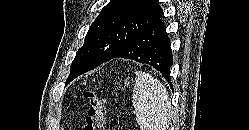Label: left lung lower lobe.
<instances>
[{
    "label": "left lung lower lobe",
    "instance_id": "1",
    "mask_svg": "<svg viewBox=\"0 0 249 130\" xmlns=\"http://www.w3.org/2000/svg\"><path fill=\"white\" fill-rule=\"evenodd\" d=\"M119 57L149 64L170 82L173 57L170 40L161 18L140 31L113 58Z\"/></svg>",
    "mask_w": 249,
    "mask_h": 130
}]
</instances>
